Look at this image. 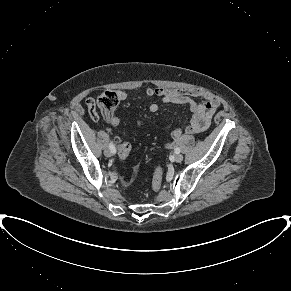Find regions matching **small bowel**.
<instances>
[{
    "label": "small bowel",
    "mask_w": 291,
    "mask_h": 291,
    "mask_svg": "<svg viewBox=\"0 0 291 291\" xmlns=\"http://www.w3.org/2000/svg\"><path fill=\"white\" fill-rule=\"evenodd\" d=\"M144 91L149 97H160L164 103L188 104L190 106L193 114L190 124L184 129L179 128L174 130L172 133L174 143L167 145V147H172L185 133L197 134L207 130L210 126L212 115L220 105L215 95L198 89L179 90L162 87H146ZM118 94L121 100L126 98V93L119 92ZM195 99H200L201 101L196 102ZM86 104L91 118L97 120L99 116L96 112L94 99L91 97L87 98ZM158 109L159 106L156 103H152L149 106L151 113H156ZM103 118L111 126H117L119 124V118L113 111H103ZM116 142L119 147L123 143L119 138H116Z\"/></svg>",
    "instance_id": "obj_1"
}]
</instances>
